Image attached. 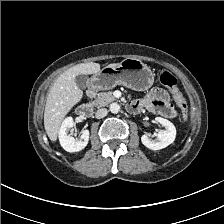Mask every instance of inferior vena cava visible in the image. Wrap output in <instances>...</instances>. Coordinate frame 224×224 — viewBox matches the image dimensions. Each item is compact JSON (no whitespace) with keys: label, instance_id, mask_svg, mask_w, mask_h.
Masks as SVG:
<instances>
[{"label":"inferior vena cava","instance_id":"1","mask_svg":"<svg viewBox=\"0 0 224 224\" xmlns=\"http://www.w3.org/2000/svg\"><path fill=\"white\" fill-rule=\"evenodd\" d=\"M108 111L106 108L98 109L95 116L97 119H101L107 115Z\"/></svg>","mask_w":224,"mask_h":224}]
</instances>
